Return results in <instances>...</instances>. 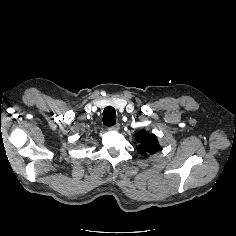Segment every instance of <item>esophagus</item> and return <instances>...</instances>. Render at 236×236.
I'll return each instance as SVG.
<instances>
[{
	"label": "esophagus",
	"instance_id": "34e87169",
	"mask_svg": "<svg viewBox=\"0 0 236 236\" xmlns=\"http://www.w3.org/2000/svg\"><path fill=\"white\" fill-rule=\"evenodd\" d=\"M119 128H120V124H119V123H116V124H115L114 126H112L110 129L117 131V130H119Z\"/></svg>",
	"mask_w": 236,
	"mask_h": 236
}]
</instances>
